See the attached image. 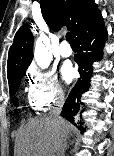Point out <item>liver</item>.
I'll list each match as a JSON object with an SVG mask.
<instances>
[{
  "mask_svg": "<svg viewBox=\"0 0 114 156\" xmlns=\"http://www.w3.org/2000/svg\"><path fill=\"white\" fill-rule=\"evenodd\" d=\"M72 129L62 118L59 122L50 116L30 119L18 132L14 156H55Z\"/></svg>",
  "mask_w": 114,
  "mask_h": 156,
  "instance_id": "1",
  "label": "liver"
}]
</instances>
